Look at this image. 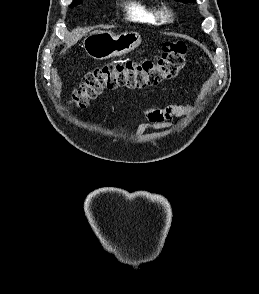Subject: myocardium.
<instances>
[{
  "mask_svg": "<svg viewBox=\"0 0 259 294\" xmlns=\"http://www.w3.org/2000/svg\"><path fill=\"white\" fill-rule=\"evenodd\" d=\"M161 17L165 20V21H172L173 19V13L171 10L165 8V9H162L161 12Z\"/></svg>",
  "mask_w": 259,
  "mask_h": 294,
  "instance_id": "myocardium-1",
  "label": "myocardium"
}]
</instances>
